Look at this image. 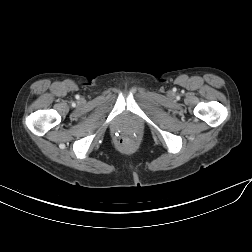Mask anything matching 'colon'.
<instances>
[{
    "label": "colon",
    "instance_id": "1",
    "mask_svg": "<svg viewBox=\"0 0 252 252\" xmlns=\"http://www.w3.org/2000/svg\"><path fill=\"white\" fill-rule=\"evenodd\" d=\"M131 141L130 140H128V139H121L120 141H119V146H120V148H122V149H124V150H127V149H129L130 147H131Z\"/></svg>",
    "mask_w": 252,
    "mask_h": 252
}]
</instances>
